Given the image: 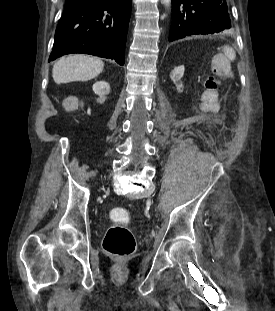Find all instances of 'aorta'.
Masks as SVG:
<instances>
[{
	"label": "aorta",
	"mask_w": 275,
	"mask_h": 311,
	"mask_svg": "<svg viewBox=\"0 0 275 311\" xmlns=\"http://www.w3.org/2000/svg\"><path fill=\"white\" fill-rule=\"evenodd\" d=\"M163 1H164V3H165L166 7H168L169 4H170V2H171V0H163Z\"/></svg>",
	"instance_id": "1"
}]
</instances>
